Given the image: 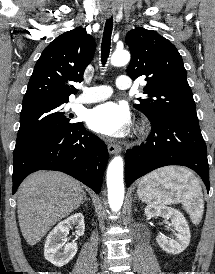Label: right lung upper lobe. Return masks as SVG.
I'll use <instances>...</instances> for the list:
<instances>
[{"label":"right lung upper lobe","instance_id":"right-lung-upper-lobe-1","mask_svg":"<svg viewBox=\"0 0 215 274\" xmlns=\"http://www.w3.org/2000/svg\"><path fill=\"white\" fill-rule=\"evenodd\" d=\"M95 42L82 27L67 31L52 41L38 59L28 83L22 107L39 102H68L91 62Z\"/></svg>","mask_w":215,"mask_h":274}]
</instances>
